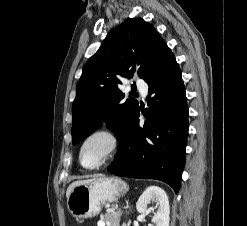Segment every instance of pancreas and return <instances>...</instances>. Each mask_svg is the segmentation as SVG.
<instances>
[{"mask_svg": "<svg viewBox=\"0 0 247 226\" xmlns=\"http://www.w3.org/2000/svg\"><path fill=\"white\" fill-rule=\"evenodd\" d=\"M120 218L118 216V214L116 213H109L107 216H106V223H113V222H119Z\"/></svg>", "mask_w": 247, "mask_h": 226, "instance_id": "obj_1", "label": "pancreas"}]
</instances>
